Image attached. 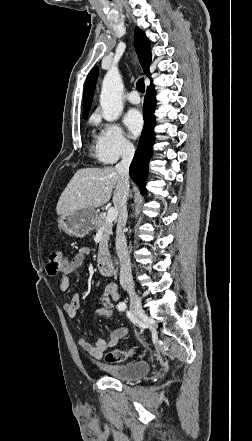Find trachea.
<instances>
[{
	"instance_id": "3493384b",
	"label": "trachea",
	"mask_w": 252,
	"mask_h": 441,
	"mask_svg": "<svg viewBox=\"0 0 252 441\" xmlns=\"http://www.w3.org/2000/svg\"><path fill=\"white\" fill-rule=\"evenodd\" d=\"M136 89L141 92L144 93L145 92V84H144V79L140 78L137 83H136Z\"/></svg>"
}]
</instances>
